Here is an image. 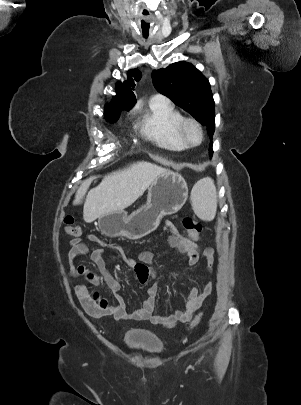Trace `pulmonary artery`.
Returning <instances> with one entry per match:
<instances>
[{"mask_svg": "<svg viewBox=\"0 0 301 405\" xmlns=\"http://www.w3.org/2000/svg\"><path fill=\"white\" fill-rule=\"evenodd\" d=\"M152 101H154V102H159V103H166V104L169 103V104H170L168 98H166V97L163 96V95H159V94L154 95V96L152 97Z\"/></svg>", "mask_w": 301, "mask_h": 405, "instance_id": "obj_1", "label": "pulmonary artery"}]
</instances>
